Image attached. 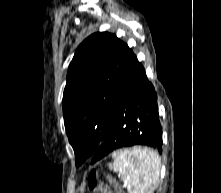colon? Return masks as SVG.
Returning <instances> with one entry per match:
<instances>
[{"label": "colon", "instance_id": "5ec220e1", "mask_svg": "<svg viewBox=\"0 0 221 193\" xmlns=\"http://www.w3.org/2000/svg\"><path fill=\"white\" fill-rule=\"evenodd\" d=\"M88 188L92 192L102 193V184L99 181L98 174L96 171H92L88 177Z\"/></svg>", "mask_w": 221, "mask_h": 193}]
</instances>
